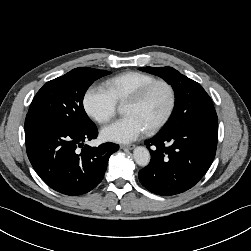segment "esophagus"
I'll return each instance as SVG.
<instances>
[{
  "label": "esophagus",
  "instance_id": "34e87169",
  "mask_svg": "<svg viewBox=\"0 0 251 251\" xmlns=\"http://www.w3.org/2000/svg\"><path fill=\"white\" fill-rule=\"evenodd\" d=\"M135 148V145H120V149H129V150H132Z\"/></svg>",
  "mask_w": 251,
  "mask_h": 251
}]
</instances>
